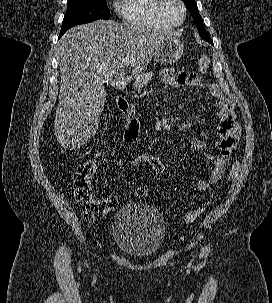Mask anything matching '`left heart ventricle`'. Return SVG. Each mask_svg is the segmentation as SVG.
<instances>
[{
	"instance_id": "b2bd125f",
	"label": "left heart ventricle",
	"mask_w": 272,
	"mask_h": 303,
	"mask_svg": "<svg viewBox=\"0 0 272 303\" xmlns=\"http://www.w3.org/2000/svg\"><path fill=\"white\" fill-rule=\"evenodd\" d=\"M162 13L165 20L171 24L179 22L182 16L181 8L175 0H166Z\"/></svg>"
}]
</instances>
